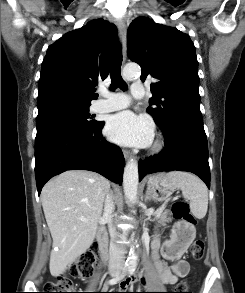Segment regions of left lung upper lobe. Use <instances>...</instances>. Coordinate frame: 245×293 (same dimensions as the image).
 Masks as SVG:
<instances>
[{"mask_svg": "<svg viewBox=\"0 0 245 293\" xmlns=\"http://www.w3.org/2000/svg\"><path fill=\"white\" fill-rule=\"evenodd\" d=\"M129 58L141 66V80L154 78L147 108L162 128L169 121L185 118L203 123L198 92L199 76L195 46L176 28L146 17L133 21L127 34Z\"/></svg>", "mask_w": 245, "mask_h": 293, "instance_id": "1", "label": "left lung upper lobe"}]
</instances>
